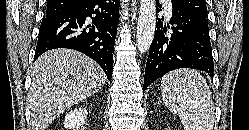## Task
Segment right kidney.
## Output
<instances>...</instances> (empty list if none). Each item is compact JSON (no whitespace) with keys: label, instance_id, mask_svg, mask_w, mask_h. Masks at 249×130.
Wrapping results in <instances>:
<instances>
[{"label":"right kidney","instance_id":"1","mask_svg":"<svg viewBox=\"0 0 249 130\" xmlns=\"http://www.w3.org/2000/svg\"><path fill=\"white\" fill-rule=\"evenodd\" d=\"M87 118L86 108H76L68 112L64 119V128L69 130H78L83 127Z\"/></svg>","mask_w":249,"mask_h":130}]
</instances>
